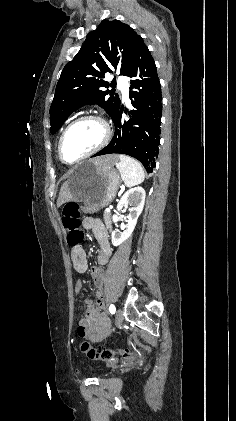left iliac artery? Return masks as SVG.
<instances>
[{
	"label": "left iliac artery",
	"instance_id": "44dca946",
	"mask_svg": "<svg viewBox=\"0 0 236 421\" xmlns=\"http://www.w3.org/2000/svg\"><path fill=\"white\" fill-rule=\"evenodd\" d=\"M109 311H110L111 314H114L115 313L116 308H115V306L113 304L110 305Z\"/></svg>",
	"mask_w": 236,
	"mask_h": 421
}]
</instances>
